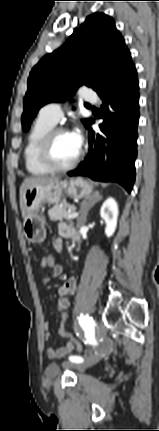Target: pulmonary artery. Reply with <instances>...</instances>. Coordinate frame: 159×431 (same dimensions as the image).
<instances>
[{
	"mask_svg": "<svg viewBox=\"0 0 159 431\" xmlns=\"http://www.w3.org/2000/svg\"><path fill=\"white\" fill-rule=\"evenodd\" d=\"M81 97L88 102H96L97 95L95 92L89 88H83L81 90ZM40 115L48 119L52 123L56 124L63 116L62 107L60 103H49L45 105L41 111Z\"/></svg>",
	"mask_w": 159,
	"mask_h": 431,
	"instance_id": "e3ab8cb5",
	"label": "pulmonary artery"
}]
</instances>
